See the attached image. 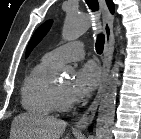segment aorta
<instances>
[{"label":"aorta","mask_w":141,"mask_h":139,"mask_svg":"<svg viewBox=\"0 0 141 139\" xmlns=\"http://www.w3.org/2000/svg\"><path fill=\"white\" fill-rule=\"evenodd\" d=\"M90 26L89 16L76 12L68 13L62 29V38L66 41H74L82 36ZM120 65V61L115 62L106 82L98 109L95 139H112Z\"/></svg>","instance_id":"762f6f07"}]
</instances>
